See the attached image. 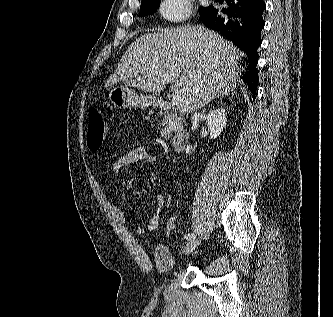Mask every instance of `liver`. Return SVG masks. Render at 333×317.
I'll return each mask as SVG.
<instances>
[{
	"label": "liver",
	"instance_id": "1",
	"mask_svg": "<svg viewBox=\"0 0 333 317\" xmlns=\"http://www.w3.org/2000/svg\"><path fill=\"white\" fill-rule=\"evenodd\" d=\"M242 52L217 33L185 25L147 33L126 50L109 83L158 93L171 83L183 113H193L212 99L228 95L240 82Z\"/></svg>",
	"mask_w": 333,
	"mask_h": 317
}]
</instances>
